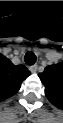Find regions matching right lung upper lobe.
I'll use <instances>...</instances> for the list:
<instances>
[{"label": "right lung upper lobe", "mask_w": 63, "mask_h": 123, "mask_svg": "<svg viewBox=\"0 0 63 123\" xmlns=\"http://www.w3.org/2000/svg\"><path fill=\"white\" fill-rule=\"evenodd\" d=\"M30 74L25 66H15L8 58L2 56L0 63V99L5 100L16 94L22 81Z\"/></svg>", "instance_id": "1"}]
</instances>
